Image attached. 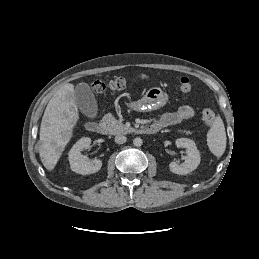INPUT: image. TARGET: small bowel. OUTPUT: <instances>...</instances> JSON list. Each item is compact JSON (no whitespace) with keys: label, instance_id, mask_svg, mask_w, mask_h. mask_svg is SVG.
<instances>
[{"label":"small bowel","instance_id":"obj_1","mask_svg":"<svg viewBox=\"0 0 259 259\" xmlns=\"http://www.w3.org/2000/svg\"><path fill=\"white\" fill-rule=\"evenodd\" d=\"M194 115V109L190 105L181 106L176 112L167 113L160 117L156 122L159 128L176 125L184 120L190 119Z\"/></svg>","mask_w":259,"mask_h":259}]
</instances>
